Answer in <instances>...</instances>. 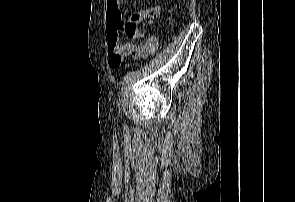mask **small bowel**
<instances>
[{"label": "small bowel", "instance_id": "obj_1", "mask_svg": "<svg viewBox=\"0 0 295 202\" xmlns=\"http://www.w3.org/2000/svg\"><path fill=\"white\" fill-rule=\"evenodd\" d=\"M107 8V21L110 24L118 23L122 20V13L120 11V0H106ZM161 13L160 4H156L153 7L142 9L139 12L132 15L133 19L139 21L145 17L151 19L156 18ZM152 22V20H151ZM150 22V23H151ZM158 48V39L156 36H148L143 46H135L131 43L122 45L119 49L117 47H110L109 51V65L112 68H117L121 64V59L127 54H136L139 57H146L154 54ZM135 49H137L135 51Z\"/></svg>", "mask_w": 295, "mask_h": 202}]
</instances>
